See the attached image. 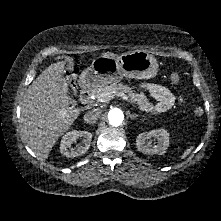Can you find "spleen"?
<instances>
[{
  "mask_svg": "<svg viewBox=\"0 0 221 221\" xmlns=\"http://www.w3.org/2000/svg\"><path fill=\"white\" fill-rule=\"evenodd\" d=\"M192 148H188L182 155V158H185L190 152H191Z\"/></svg>",
  "mask_w": 221,
  "mask_h": 221,
  "instance_id": "obj_1",
  "label": "spleen"
}]
</instances>
